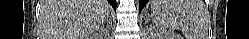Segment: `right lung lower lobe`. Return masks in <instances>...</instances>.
<instances>
[{"label":"right lung lower lobe","mask_w":249,"mask_h":39,"mask_svg":"<svg viewBox=\"0 0 249 39\" xmlns=\"http://www.w3.org/2000/svg\"><path fill=\"white\" fill-rule=\"evenodd\" d=\"M111 3L112 7L116 10V0H109Z\"/></svg>","instance_id":"obj_1"}]
</instances>
